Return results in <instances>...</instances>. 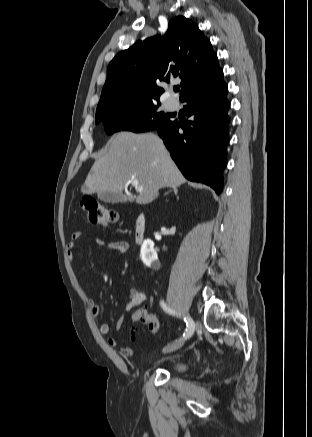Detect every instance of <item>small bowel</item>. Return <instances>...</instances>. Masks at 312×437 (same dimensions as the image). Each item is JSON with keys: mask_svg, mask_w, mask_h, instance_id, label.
Returning <instances> with one entry per match:
<instances>
[{"mask_svg": "<svg viewBox=\"0 0 312 437\" xmlns=\"http://www.w3.org/2000/svg\"><path fill=\"white\" fill-rule=\"evenodd\" d=\"M81 237H82V232H80V231L75 232L72 235L71 240L66 244V254H67L68 258L71 260L74 259V248L76 245V241L79 240ZM95 243H96V245H98L100 247H106L109 250L115 251L117 253H125L129 248V243L125 240H115L112 242H106L104 239L98 238V239H96ZM145 300H146V294L144 292L140 291L137 288H131L129 291V299L125 303L124 308H123V314L116 322V329H119L123 325L127 315L134 308L143 304L145 302ZM89 304H90L92 314L94 316H98L100 313L99 304L93 299L89 300ZM109 331H110V326L108 323H102L99 326V332L102 335L108 334ZM107 342L112 347L118 346V341L114 337H109L107 339ZM121 351L128 356L133 355V350L131 348L122 347Z\"/></svg>", "mask_w": 312, "mask_h": 437, "instance_id": "c3829d8e", "label": "small bowel"}]
</instances>
